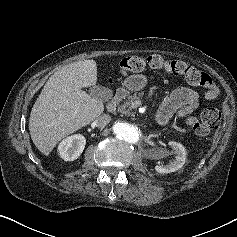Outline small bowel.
<instances>
[{
    "label": "small bowel",
    "instance_id": "1",
    "mask_svg": "<svg viewBox=\"0 0 237 237\" xmlns=\"http://www.w3.org/2000/svg\"><path fill=\"white\" fill-rule=\"evenodd\" d=\"M198 107V93L189 87H178L163 101L157 113V121L166 124L174 114L181 118L191 114Z\"/></svg>",
    "mask_w": 237,
    "mask_h": 237
}]
</instances>
